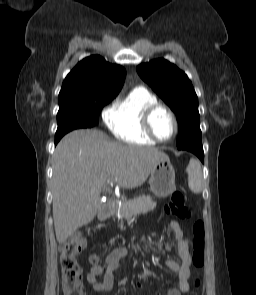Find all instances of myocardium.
Masks as SVG:
<instances>
[{"label": "myocardium", "instance_id": "obj_1", "mask_svg": "<svg viewBox=\"0 0 256 295\" xmlns=\"http://www.w3.org/2000/svg\"><path fill=\"white\" fill-rule=\"evenodd\" d=\"M158 110H164L165 112H167L173 121V125H174L173 134L169 139H166V140L159 138L153 130L152 118H153V115L155 114V112H157ZM142 122H143V128H144L145 132L147 133V135L157 143L170 142L171 140H173L175 138V136L178 133V129H179V124H178V120H177L175 113L168 106L158 103V102L148 106L145 109V111L143 113Z\"/></svg>", "mask_w": 256, "mask_h": 295}]
</instances>
